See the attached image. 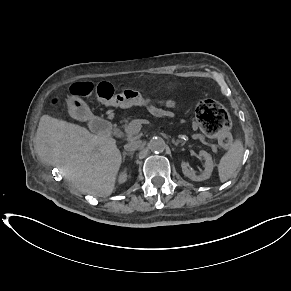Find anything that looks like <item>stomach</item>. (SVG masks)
I'll list each match as a JSON object with an SVG mask.
<instances>
[{
    "label": "stomach",
    "instance_id": "stomach-1",
    "mask_svg": "<svg viewBox=\"0 0 291 291\" xmlns=\"http://www.w3.org/2000/svg\"><path fill=\"white\" fill-rule=\"evenodd\" d=\"M67 105L71 115L74 117L83 118L89 113L86 103L78 97L68 98Z\"/></svg>",
    "mask_w": 291,
    "mask_h": 291
}]
</instances>
